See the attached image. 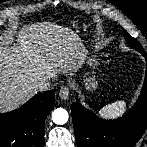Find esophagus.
Listing matches in <instances>:
<instances>
[{
    "mask_svg": "<svg viewBox=\"0 0 147 147\" xmlns=\"http://www.w3.org/2000/svg\"><path fill=\"white\" fill-rule=\"evenodd\" d=\"M60 99L66 101L69 99V89L67 87H62L59 91Z\"/></svg>",
    "mask_w": 147,
    "mask_h": 147,
    "instance_id": "34e87169",
    "label": "esophagus"
}]
</instances>
